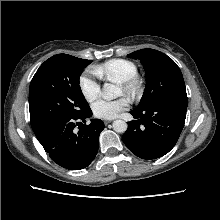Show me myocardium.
Masks as SVG:
<instances>
[{
	"label": "myocardium",
	"mask_w": 220,
	"mask_h": 220,
	"mask_svg": "<svg viewBox=\"0 0 220 220\" xmlns=\"http://www.w3.org/2000/svg\"><path fill=\"white\" fill-rule=\"evenodd\" d=\"M119 85L122 92L132 99L138 98L142 93V84L137 77L131 78Z\"/></svg>",
	"instance_id": "obj_1"
}]
</instances>
